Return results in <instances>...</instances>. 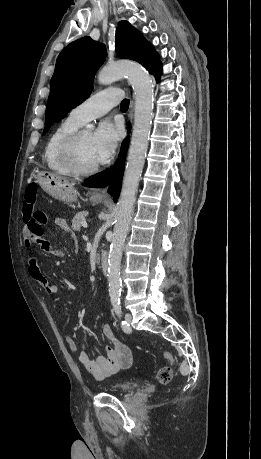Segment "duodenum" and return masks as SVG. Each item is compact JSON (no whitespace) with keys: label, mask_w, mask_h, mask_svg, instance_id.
Returning a JSON list of instances; mask_svg holds the SVG:
<instances>
[{"label":"duodenum","mask_w":261,"mask_h":459,"mask_svg":"<svg viewBox=\"0 0 261 459\" xmlns=\"http://www.w3.org/2000/svg\"><path fill=\"white\" fill-rule=\"evenodd\" d=\"M99 264L102 268L103 273L107 274L108 273V261H107L106 253L104 251H102L99 256Z\"/></svg>","instance_id":"duodenum-1"}]
</instances>
